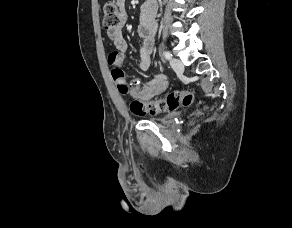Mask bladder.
Listing matches in <instances>:
<instances>
[{"label":"bladder","mask_w":292,"mask_h":228,"mask_svg":"<svg viewBox=\"0 0 292 228\" xmlns=\"http://www.w3.org/2000/svg\"><path fill=\"white\" fill-rule=\"evenodd\" d=\"M176 116V113H169V114H166L162 117H159L157 119H154L155 121H158L160 123H168L171 119H173L174 117Z\"/></svg>","instance_id":"31cf9c89"}]
</instances>
